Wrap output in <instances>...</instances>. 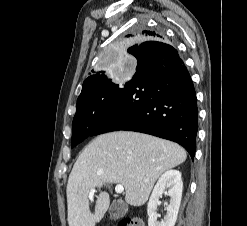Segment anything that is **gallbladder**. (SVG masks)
Listing matches in <instances>:
<instances>
[{
    "label": "gallbladder",
    "instance_id": "gallbladder-1",
    "mask_svg": "<svg viewBox=\"0 0 247 226\" xmlns=\"http://www.w3.org/2000/svg\"><path fill=\"white\" fill-rule=\"evenodd\" d=\"M112 209L115 213L112 214L111 217L116 219L125 215L127 205L123 201H115L112 205Z\"/></svg>",
    "mask_w": 247,
    "mask_h": 226
}]
</instances>
